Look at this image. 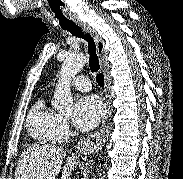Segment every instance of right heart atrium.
Returning a JSON list of instances; mask_svg holds the SVG:
<instances>
[{
    "label": "right heart atrium",
    "mask_w": 183,
    "mask_h": 179,
    "mask_svg": "<svg viewBox=\"0 0 183 179\" xmlns=\"http://www.w3.org/2000/svg\"><path fill=\"white\" fill-rule=\"evenodd\" d=\"M69 132L68 120L60 115H57L53 123V134L57 137H63Z\"/></svg>",
    "instance_id": "obj_1"
}]
</instances>
